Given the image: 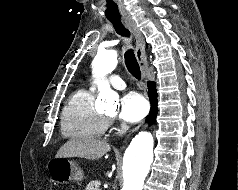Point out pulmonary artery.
Listing matches in <instances>:
<instances>
[{"instance_id": "obj_1", "label": "pulmonary artery", "mask_w": 238, "mask_h": 190, "mask_svg": "<svg viewBox=\"0 0 238 190\" xmlns=\"http://www.w3.org/2000/svg\"><path fill=\"white\" fill-rule=\"evenodd\" d=\"M109 82L112 85V87L118 90H123L126 87L125 82L117 75L111 76Z\"/></svg>"}]
</instances>
